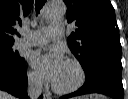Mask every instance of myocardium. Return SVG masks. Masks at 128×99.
I'll return each instance as SVG.
<instances>
[{
    "label": "myocardium",
    "instance_id": "obj_1",
    "mask_svg": "<svg viewBox=\"0 0 128 99\" xmlns=\"http://www.w3.org/2000/svg\"><path fill=\"white\" fill-rule=\"evenodd\" d=\"M66 62L76 67L78 74H79L78 80L74 85L67 87V88H61V87L56 86L54 83H52V89L57 94L66 95V94L73 93L77 91L79 88H81L86 80L85 70L82 64L78 60L70 58V59H67Z\"/></svg>",
    "mask_w": 128,
    "mask_h": 99
}]
</instances>
